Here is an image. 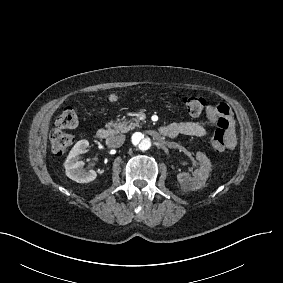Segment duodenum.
<instances>
[{"mask_svg": "<svg viewBox=\"0 0 283 283\" xmlns=\"http://www.w3.org/2000/svg\"><path fill=\"white\" fill-rule=\"evenodd\" d=\"M156 133L163 137H171L172 133L167 127H160L156 130ZM111 135V131L106 127H101L97 130L96 136L100 140H105L109 138Z\"/></svg>", "mask_w": 283, "mask_h": 283, "instance_id": "obj_1", "label": "duodenum"}]
</instances>
